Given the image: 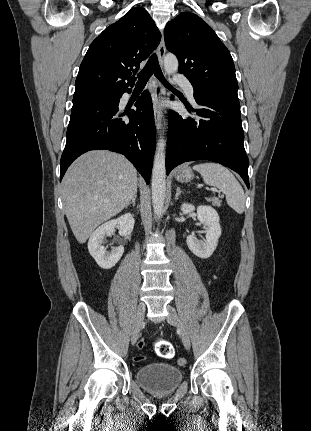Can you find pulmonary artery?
Returning a JSON list of instances; mask_svg holds the SVG:
<instances>
[{"label":"pulmonary artery","mask_w":311,"mask_h":431,"mask_svg":"<svg viewBox=\"0 0 311 431\" xmlns=\"http://www.w3.org/2000/svg\"><path fill=\"white\" fill-rule=\"evenodd\" d=\"M178 83L181 85L184 92L191 99V101L193 103H195V101H194V87L192 86V84L189 81H178Z\"/></svg>","instance_id":"obj_1"}]
</instances>
